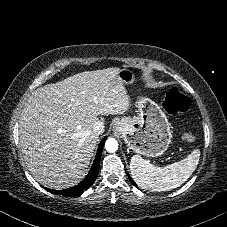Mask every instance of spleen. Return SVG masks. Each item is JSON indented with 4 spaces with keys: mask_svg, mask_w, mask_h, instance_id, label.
<instances>
[{
    "mask_svg": "<svg viewBox=\"0 0 227 227\" xmlns=\"http://www.w3.org/2000/svg\"><path fill=\"white\" fill-rule=\"evenodd\" d=\"M200 151L193 150L186 158L164 167H157L142 159L139 155L131 158L130 170L135 182L151 191H169L182 185L195 171Z\"/></svg>",
    "mask_w": 227,
    "mask_h": 227,
    "instance_id": "3e777b00",
    "label": "spleen"
}]
</instances>
